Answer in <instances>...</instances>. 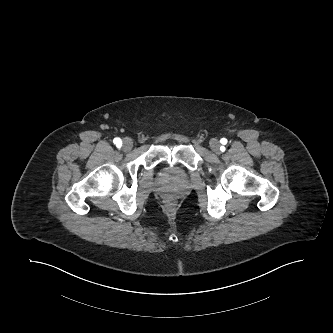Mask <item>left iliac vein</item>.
<instances>
[{
    "label": "left iliac vein",
    "instance_id": "1",
    "mask_svg": "<svg viewBox=\"0 0 333 333\" xmlns=\"http://www.w3.org/2000/svg\"><path fill=\"white\" fill-rule=\"evenodd\" d=\"M209 144L214 153L218 154L220 152V142L217 139H211Z\"/></svg>",
    "mask_w": 333,
    "mask_h": 333
}]
</instances>
